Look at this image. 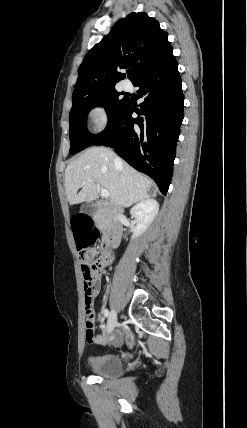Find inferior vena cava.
Returning a JSON list of instances; mask_svg holds the SVG:
<instances>
[{"label": "inferior vena cava", "instance_id": "1", "mask_svg": "<svg viewBox=\"0 0 247 428\" xmlns=\"http://www.w3.org/2000/svg\"><path fill=\"white\" fill-rule=\"evenodd\" d=\"M116 162H119V159H118V158H116Z\"/></svg>", "mask_w": 247, "mask_h": 428}]
</instances>
